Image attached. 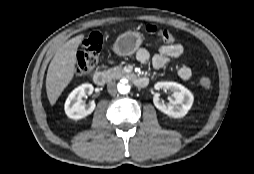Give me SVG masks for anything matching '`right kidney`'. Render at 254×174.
<instances>
[{"label":"right kidney","instance_id":"right-kidney-1","mask_svg":"<svg viewBox=\"0 0 254 174\" xmlns=\"http://www.w3.org/2000/svg\"><path fill=\"white\" fill-rule=\"evenodd\" d=\"M94 87L92 84H82L75 88L66 99L64 109L66 115L74 120L84 118L91 114L95 109V103L92 101L88 105L82 100L86 94H92Z\"/></svg>","mask_w":254,"mask_h":174}]
</instances>
